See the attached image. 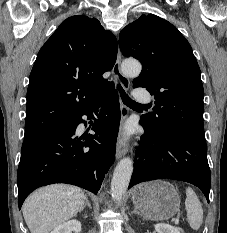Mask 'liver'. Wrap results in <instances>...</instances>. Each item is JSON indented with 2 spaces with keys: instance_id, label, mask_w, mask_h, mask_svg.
<instances>
[{
  "instance_id": "liver-1",
  "label": "liver",
  "mask_w": 227,
  "mask_h": 233,
  "mask_svg": "<svg viewBox=\"0 0 227 233\" xmlns=\"http://www.w3.org/2000/svg\"><path fill=\"white\" fill-rule=\"evenodd\" d=\"M86 201L84 192L75 186L54 184L38 189L22 206L24 220L31 233H50L75 217Z\"/></svg>"
}]
</instances>
